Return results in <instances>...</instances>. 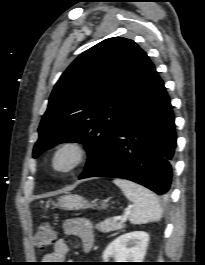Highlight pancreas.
<instances>
[{
  "label": "pancreas",
  "instance_id": "1",
  "mask_svg": "<svg viewBox=\"0 0 205 265\" xmlns=\"http://www.w3.org/2000/svg\"><path fill=\"white\" fill-rule=\"evenodd\" d=\"M96 228L103 233H108L111 231L121 230L124 228V224L122 222H116L112 218H108L102 222H99L96 225Z\"/></svg>",
  "mask_w": 205,
  "mask_h": 265
}]
</instances>
